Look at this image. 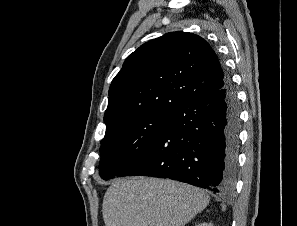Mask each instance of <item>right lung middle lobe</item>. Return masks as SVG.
Returning a JSON list of instances; mask_svg holds the SVG:
<instances>
[{
    "instance_id": "1",
    "label": "right lung middle lobe",
    "mask_w": 297,
    "mask_h": 226,
    "mask_svg": "<svg viewBox=\"0 0 297 226\" xmlns=\"http://www.w3.org/2000/svg\"><path fill=\"white\" fill-rule=\"evenodd\" d=\"M173 112L141 113L107 126L100 147V176L110 179L130 165L170 123Z\"/></svg>"
}]
</instances>
